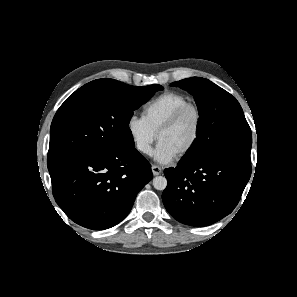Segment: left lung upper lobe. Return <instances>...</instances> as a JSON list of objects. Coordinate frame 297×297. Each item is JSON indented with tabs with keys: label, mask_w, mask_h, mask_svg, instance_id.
Returning <instances> with one entry per match:
<instances>
[{
	"label": "left lung upper lobe",
	"mask_w": 297,
	"mask_h": 297,
	"mask_svg": "<svg viewBox=\"0 0 297 297\" xmlns=\"http://www.w3.org/2000/svg\"><path fill=\"white\" fill-rule=\"evenodd\" d=\"M171 85L194 96L200 116L198 137L182 160L223 156L251 164V129L235 97L201 77L183 79Z\"/></svg>",
	"instance_id": "left-lung-upper-lobe-1"
}]
</instances>
